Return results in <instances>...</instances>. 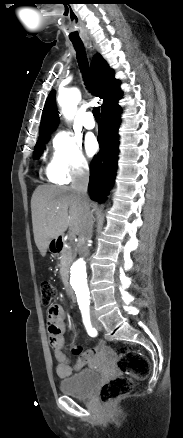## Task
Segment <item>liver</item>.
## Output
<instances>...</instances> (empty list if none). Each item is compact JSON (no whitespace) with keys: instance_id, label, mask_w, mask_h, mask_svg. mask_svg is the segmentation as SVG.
Here are the masks:
<instances>
[{"instance_id":"obj_1","label":"liver","mask_w":183,"mask_h":438,"mask_svg":"<svg viewBox=\"0 0 183 438\" xmlns=\"http://www.w3.org/2000/svg\"><path fill=\"white\" fill-rule=\"evenodd\" d=\"M34 240L42 256L51 240L62 236L69 228L79 235L83 230L84 205L70 187L38 186L31 198Z\"/></svg>"}]
</instances>
